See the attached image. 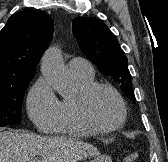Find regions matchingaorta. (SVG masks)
<instances>
[{
    "instance_id": "obj_1",
    "label": "aorta",
    "mask_w": 168,
    "mask_h": 162,
    "mask_svg": "<svg viewBox=\"0 0 168 162\" xmlns=\"http://www.w3.org/2000/svg\"><path fill=\"white\" fill-rule=\"evenodd\" d=\"M41 71L44 78L63 97L71 94V79L63 64L61 52L56 47H50L43 55Z\"/></svg>"
}]
</instances>
